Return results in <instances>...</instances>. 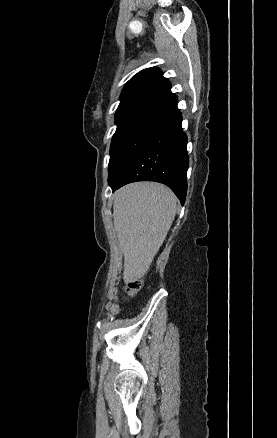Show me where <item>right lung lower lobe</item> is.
Listing matches in <instances>:
<instances>
[{
	"label": "right lung lower lobe",
	"mask_w": 277,
	"mask_h": 438,
	"mask_svg": "<svg viewBox=\"0 0 277 438\" xmlns=\"http://www.w3.org/2000/svg\"><path fill=\"white\" fill-rule=\"evenodd\" d=\"M176 105L169 110L159 128L124 174L115 182L109 183L113 192L131 182L156 181L170 187L181 204H184L189 159L186 150L187 137L182 131V117Z\"/></svg>",
	"instance_id": "right-lung-lower-lobe-1"
}]
</instances>
